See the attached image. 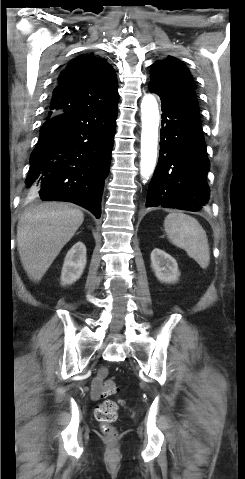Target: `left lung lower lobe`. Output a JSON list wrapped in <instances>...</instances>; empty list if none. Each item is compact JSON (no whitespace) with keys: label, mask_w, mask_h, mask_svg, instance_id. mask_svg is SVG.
Listing matches in <instances>:
<instances>
[{"label":"left lung lower lobe","mask_w":245,"mask_h":479,"mask_svg":"<svg viewBox=\"0 0 245 479\" xmlns=\"http://www.w3.org/2000/svg\"><path fill=\"white\" fill-rule=\"evenodd\" d=\"M161 99L162 121L158 165L148 188L146 207L198 211L208 202L209 170L195 87L164 88L150 81Z\"/></svg>","instance_id":"left-lung-lower-lobe-1"}]
</instances>
